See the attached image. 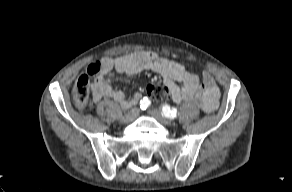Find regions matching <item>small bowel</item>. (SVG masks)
<instances>
[{
    "label": "small bowel",
    "mask_w": 292,
    "mask_h": 192,
    "mask_svg": "<svg viewBox=\"0 0 292 192\" xmlns=\"http://www.w3.org/2000/svg\"><path fill=\"white\" fill-rule=\"evenodd\" d=\"M103 64V71L91 84L95 102L109 98L123 108L136 104L141 94L136 93L128 98L125 93L115 89L114 75L115 73L136 75L144 71H152L163 78L164 87L169 91L174 103L194 101L205 112H213L218 107L219 88L209 73L204 72L200 80L182 63L161 57L152 51L141 50L117 58H106Z\"/></svg>",
    "instance_id": "1"
}]
</instances>
